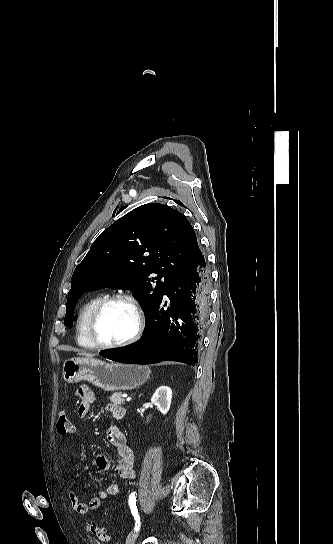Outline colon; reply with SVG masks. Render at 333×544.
I'll return each mask as SVG.
<instances>
[{
    "instance_id": "colon-1",
    "label": "colon",
    "mask_w": 333,
    "mask_h": 544,
    "mask_svg": "<svg viewBox=\"0 0 333 544\" xmlns=\"http://www.w3.org/2000/svg\"><path fill=\"white\" fill-rule=\"evenodd\" d=\"M74 424L71 421V419L66 414H61L58 421H57V431L59 434L65 435V434H71L74 432ZM88 530L97 538L101 540H107L109 538V534L106 528L96 524V523H90L88 524Z\"/></svg>"
}]
</instances>
